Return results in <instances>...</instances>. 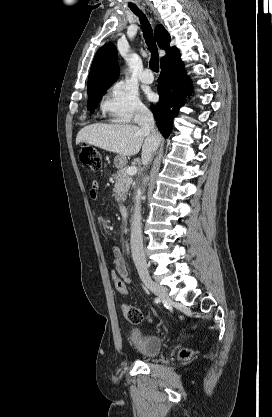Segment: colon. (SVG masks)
Here are the masks:
<instances>
[{"instance_id":"1","label":"colon","mask_w":272,"mask_h":417,"mask_svg":"<svg viewBox=\"0 0 272 417\" xmlns=\"http://www.w3.org/2000/svg\"><path fill=\"white\" fill-rule=\"evenodd\" d=\"M80 160L83 164L91 167L94 170H97L101 167V155L99 151L91 145L85 144L81 146ZM113 284L119 293L123 295L127 294L126 284L119 276H115L113 279ZM122 310L125 319L131 323L137 324L140 323L143 319L142 312L138 307L134 305L124 304ZM181 355L186 359L190 354L188 351H183Z\"/></svg>"}]
</instances>
